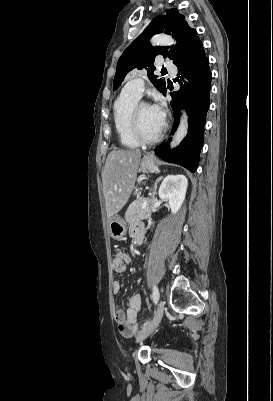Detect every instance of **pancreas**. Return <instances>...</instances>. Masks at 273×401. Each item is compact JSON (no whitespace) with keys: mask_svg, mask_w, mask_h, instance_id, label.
Instances as JSON below:
<instances>
[{"mask_svg":"<svg viewBox=\"0 0 273 401\" xmlns=\"http://www.w3.org/2000/svg\"><path fill=\"white\" fill-rule=\"evenodd\" d=\"M146 199H149L148 205L145 206L144 210H141L140 206L142 205L143 201H146ZM151 203H153V198H138V201L131 203L124 217L126 223H139V221H143V219H150Z\"/></svg>","mask_w":273,"mask_h":401,"instance_id":"obj_1","label":"pancreas"}]
</instances>
